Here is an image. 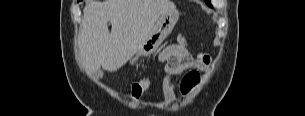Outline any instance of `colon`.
I'll return each mask as SVG.
<instances>
[{
  "label": "colon",
  "mask_w": 305,
  "mask_h": 116,
  "mask_svg": "<svg viewBox=\"0 0 305 116\" xmlns=\"http://www.w3.org/2000/svg\"><path fill=\"white\" fill-rule=\"evenodd\" d=\"M178 43H186V39L184 36H179L178 37ZM197 76L196 72L190 71L189 73L186 74V77L189 79H193ZM151 85V80L149 78H142L140 80H137L132 83L130 87V98L132 101L137 102L139 101L146 91L149 89Z\"/></svg>",
  "instance_id": "5ec220e1"
}]
</instances>
